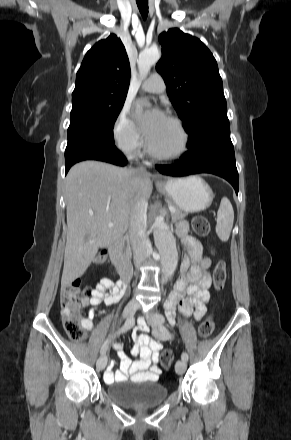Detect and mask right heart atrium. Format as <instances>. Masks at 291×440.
Here are the masks:
<instances>
[{
	"label": "right heart atrium",
	"instance_id": "right-heart-atrium-1",
	"mask_svg": "<svg viewBox=\"0 0 291 440\" xmlns=\"http://www.w3.org/2000/svg\"><path fill=\"white\" fill-rule=\"evenodd\" d=\"M113 136L118 149L127 155L135 154L141 145L140 134L126 105L122 107L115 121Z\"/></svg>",
	"mask_w": 291,
	"mask_h": 440
}]
</instances>
